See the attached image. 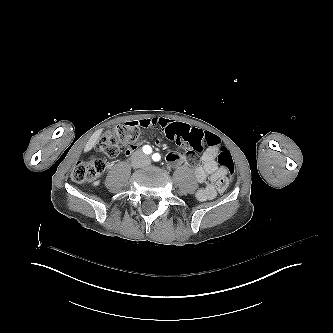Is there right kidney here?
<instances>
[{
    "label": "right kidney",
    "instance_id": "1",
    "mask_svg": "<svg viewBox=\"0 0 333 333\" xmlns=\"http://www.w3.org/2000/svg\"><path fill=\"white\" fill-rule=\"evenodd\" d=\"M100 184V181L98 180V181H95L94 183H93V186H98Z\"/></svg>",
    "mask_w": 333,
    "mask_h": 333
}]
</instances>
